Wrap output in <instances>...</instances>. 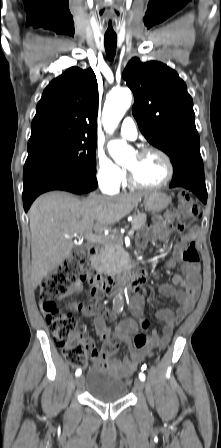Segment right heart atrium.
<instances>
[{
    "label": "right heart atrium",
    "mask_w": 221,
    "mask_h": 448,
    "mask_svg": "<svg viewBox=\"0 0 221 448\" xmlns=\"http://www.w3.org/2000/svg\"><path fill=\"white\" fill-rule=\"evenodd\" d=\"M95 175L100 188L111 193L118 190L124 180L125 171L105 153L98 152L95 158Z\"/></svg>",
    "instance_id": "obj_1"
}]
</instances>
